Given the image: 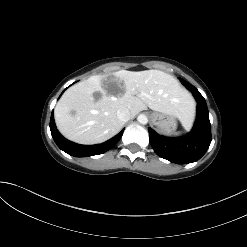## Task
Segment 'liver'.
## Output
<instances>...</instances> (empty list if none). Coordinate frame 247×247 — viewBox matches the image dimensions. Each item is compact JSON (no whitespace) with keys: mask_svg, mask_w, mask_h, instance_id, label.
<instances>
[{"mask_svg":"<svg viewBox=\"0 0 247 247\" xmlns=\"http://www.w3.org/2000/svg\"><path fill=\"white\" fill-rule=\"evenodd\" d=\"M95 92L101 94L97 101L93 97ZM122 107L129 109L131 117L149 107L178 118L188 129L195 104L170 74L160 70H120L91 76L70 87L58 101L54 118L58 130L67 139L97 144L121 130L124 122L118 119L117 110Z\"/></svg>","mask_w":247,"mask_h":247,"instance_id":"1","label":"liver"}]
</instances>
